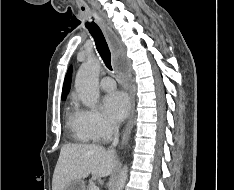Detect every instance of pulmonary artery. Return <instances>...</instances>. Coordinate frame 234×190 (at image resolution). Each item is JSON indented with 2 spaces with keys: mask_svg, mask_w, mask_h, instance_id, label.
Listing matches in <instances>:
<instances>
[{
  "mask_svg": "<svg viewBox=\"0 0 234 190\" xmlns=\"http://www.w3.org/2000/svg\"><path fill=\"white\" fill-rule=\"evenodd\" d=\"M100 87L105 91H112L115 89L116 83L110 76H105L100 81Z\"/></svg>",
  "mask_w": 234,
  "mask_h": 190,
  "instance_id": "pulmonary-artery-1",
  "label": "pulmonary artery"
}]
</instances>
